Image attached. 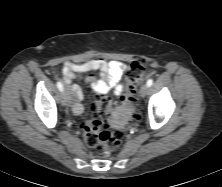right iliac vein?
<instances>
[{
    "label": "right iliac vein",
    "mask_w": 222,
    "mask_h": 187,
    "mask_svg": "<svg viewBox=\"0 0 222 187\" xmlns=\"http://www.w3.org/2000/svg\"><path fill=\"white\" fill-rule=\"evenodd\" d=\"M60 100L63 106L67 105L68 103V92L67 90H63V92L60 95Z\"/></svg>",
    "instance_id": "right-iliac-vein-1"
}]
</instances>
